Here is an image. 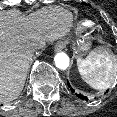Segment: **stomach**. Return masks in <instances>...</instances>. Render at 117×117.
<instances>
[{
  "label": "stomach",
  "mask_w": 117,
  "mask_h": 117,
  "mask_svg": "<svg viewBox=\"0 0 117 117\" xmlns=\"http://www.w3.org/2000/svg\"><path fill=\"white\" fill-rule=\"evenodd\" d=\"M90 48V43L87 42V41H84V40H79L77 41L76 43V52L79 53V52H83V53H86ZM83 55V54H82ZM81 55V56H82Z\"/></svg>",
  "instance_id": "obj_1"
}]
</instances>
